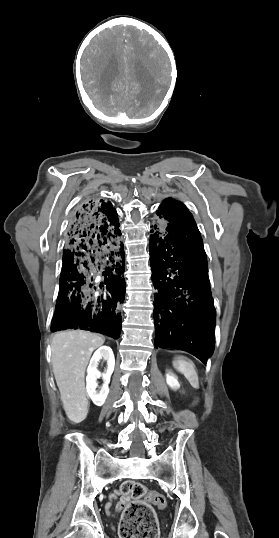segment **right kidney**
<instances>
[{
  "instance_id": "right-kidney-1",
  "label": "right kidney",
  "mask_w": 279,
  "mask_h": 538,
  "mask_svg": "<svg viewBox=\"0 0 279 538\" xmlns=\"http://www.w3.org/2000/svg\"><path fill=\"white\" fill-rule=\"evenodd\" d=\"M106 360L107 362V370L105 374H101V372H98L97 366L98 362L100 360ZM114 366H115V358L114 354L109 348V346H101V348H98L96 352H94L90 364L87 368V378H86V390L92 400L94 402L95 406H103L108 394H109V388L108 384H110V378L111 374L114 372ZM98 378H102L104 384L101 386V390L97 392L96 388H98L97 380Z\"/></svg>"
}]
</instances>
